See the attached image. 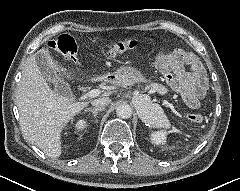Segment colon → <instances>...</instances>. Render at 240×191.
Segmentation results:
<instances>
[{
    "mask_svg": "<svg viewBox=\"0 0 240 191\" xmlns=\"http://www.w3.org/2000/svg\"><path fill=\"white\" fill-rule=\"evenodd\" d=\"M138 42L132 38L115 40L108 48L111 55L131 50L137 46ZM48 46L61 54L65 61L77 62V44L73 37L67 34L60 35L57 39L48 42ZM158 67L162 70L166 68L165 56L159 61ZM192 123H201L203 117L199 113H191L187 116Z\"/></svg>",
    "mask_w": 240,
    "mask_h": 191,
    "instance_id": "colon-1",
    "label": "colon"
}]
</instances>
